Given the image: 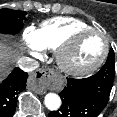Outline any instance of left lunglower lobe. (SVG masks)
I'll list each match as a JSON object with an SVG mask.
<instances>
[{
    "mask_svg": "<svg viewBox=\"0 0 117 117\" xmlns=\"http://www.w3.org/2000/svg\"><path fill=\"white\" fill-rule=\"evenodd\" d=\"M113 81L114 75L103 68L88 78H67V85L59 93L62 106L48 116L97 117L108 103Z\"/></svg>",
    "mask_w": 117,
    "mask_h": 117,
    "instance_id": "0a47b994",
    "label": "left lung lower lobe"
}]
</instances>
